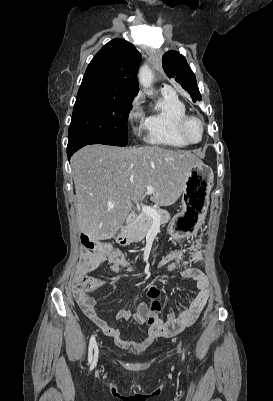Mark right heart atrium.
<instances>
[{"label":"right heart atrium","mask_w":273,"mask_h":401,"mask_svg":"<svg viewBox=\"0 0 273 401\" xmlns=\"http://www.w3.org/2000/svg\"><path fill=\"white\" fill-rule=\"evenodd\" d=\"M138 120L140 122V126L138 128L133 129L134 134L139 135L141 129L143 128V121H144V113L140 107V102L138 98H135L131 103L130 110L128 112V121L130 123L135 122Z\"/></svg>","instance_id":"1"}]
</instances>
